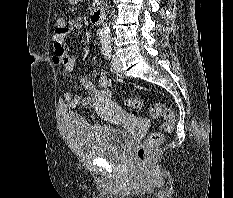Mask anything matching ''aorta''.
I'll return each mask as SVG.
<instances>
[{
	"label": "aorta",
	"mask_w": 233,
	"mask_h": 198,
	"mask_svg": "<svg viewBox=\"0 0 233 198\" xmlns=\"http://www.w3.org/2000/svg\"><path fill=\"white\" fill-rule=\"evenodd\" d=\"M99 36L101 42H108L111 40L110 29L106 24H104L102 28L99 30Z\"/></svg>",
	"instance_id": "1"
}]
</instances>
